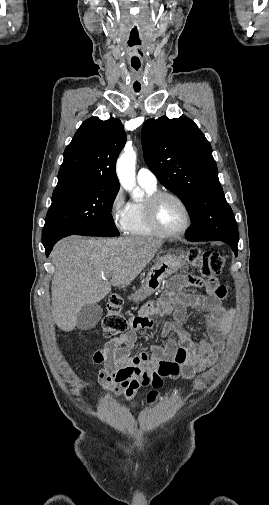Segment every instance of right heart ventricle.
Segmentation results:
<instances>
[{"mask_svg":"<svg viewBox=\"0 0 269 505\" xmlns=\"http://www.w3.org/2000/svg\"><path fill=\"white\" fill-rule=\"evenodd\" d=\"M142 189L145 192V199L152 195L153 193L157 192L156 187H150L147 185H142L140 184ZM144 200L142 201H135L129 203L128 207V221H127V226L125 229V232L128 235L131 236H139V237H153L156 236L157 234L151 229L149 226L147 219H146V214H145V208H144Z\"/></svg>","mask_w":269,"mask_h":505,"instance_id":"obj_1","label":"right heart ventricle"}]
</instances>
